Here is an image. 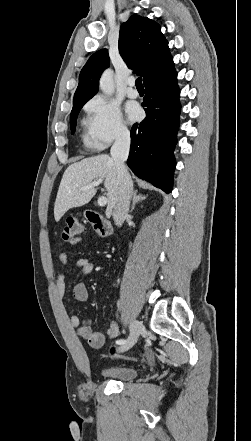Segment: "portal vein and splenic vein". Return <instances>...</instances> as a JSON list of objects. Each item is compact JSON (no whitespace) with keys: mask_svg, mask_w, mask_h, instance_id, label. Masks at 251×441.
Wrapping results in <instances>:
<instances>
[{"mask_svg":"<svg viewBox=\"0 0 251 441\" xmlns=\"http://www.w3.org/2000/svg\"><path fill=\"white\" fill-rule=\"evenodd\" d=\"M101 182H102V180H101V179H98L97 181H93V182H91L89 185L84 186V187H82L81 189H82V190H87V189L92 188V187H97V186L100 185ZM107 201H108V200H107L106 197L101 196V197L98 199V205H99L100 207H104V206L107 204Z\"/></svg>","mask_w":251,"mask_h":441,"instance_id":"portal-vein-and-splenic-vein-1","label":"portal vein and splenic vein"}]
</instances>
